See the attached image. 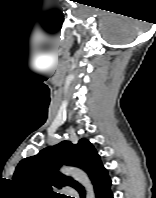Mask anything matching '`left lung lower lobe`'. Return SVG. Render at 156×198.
<instances>
[{"label": "left lung lower lobe", "mask_w": 156, "mask_h": 198, "mask_svg": "<svg viewBox=\"0 0 156 198\" xmlns=\"http://www.w3.org/2000/svg\"><path fill=\"white\" fill-rule=\"evenodd\" d=\"M96 198H113L111 191V179L107 170L104 171L93 183ZM80 198H85L84 189L79 192Z\"/></svg>", "instance_id": "left-lung-lower-lobe-1"}]
</instances>
